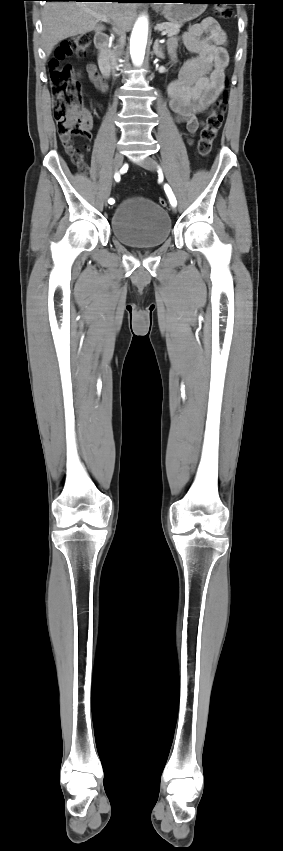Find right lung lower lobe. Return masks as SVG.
I'll list each match as a JSON object with an SVG mask.
<instances>
[{"label":"right lung lower lobe","instance_id":"1","mask_svg":"<svg viewBox=\"0 0 283 851\" xmlns=\"http://www.w3.org/2000/svg\"><path fill=\"white\" fill-rule=\"evenodd\" d=\"M46 1H89V0H46ZM148 0H112V2H147Z\"/></svg>","mask_w":283,"mask_h":851}]
</instances>
